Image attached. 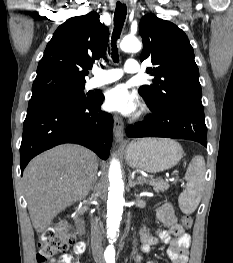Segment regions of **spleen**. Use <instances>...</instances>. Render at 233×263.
<instances>
[{
	"instance_id": "spleen-1",
	"label": "spleen",
	"mask_w": 233,
	"mask_h": 263,
	"mask_svg": "<svg viewBox=\"0 0 233 263\" xmlns=\"http://www.w3.org/2000/svg\"><path fill=\"white\" fill-rule=\"evenodd\" d=\"M205 160L203 156H195L187 168L185 175L186 189L178 198L180 209L185 214H192L198 207L205 183Z\"/></svg>"
}]
</instances>
